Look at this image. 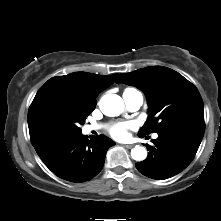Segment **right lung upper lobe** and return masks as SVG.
I'll return each instance as SVG.
<instances>
[{
    "instance_id": "obj_1",
    "label": "right lung upper lobe",
    "mask_w": 221,
    "mask_h": 221,
    "mask_svg": "<svg viewBox=\"0 0 221 221\" xmlns=\"http://www.w3.org/2000/svg\"><path fill=\"white\" fill-rule=\"evenodd\" d=\"M118 74L111 76L76 72L49 79L37 92L33 101L49 95L66 96L84 107L95 109L98 94L114 83Z\"/></svg>"
}]
</instances>
